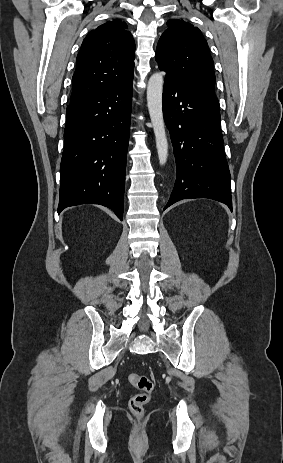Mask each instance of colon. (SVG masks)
I'll return each instance as SVG.
<instances>
[{
  "instance_id": "obj_1",
  "label": "colon",
  "mask_w": 283,
  "mask_h": 463,
  "mask_svg": "<svg viewBox=\"0 0 283 463\" xmlns=\"http://www.w3.org/2000/svg\"><path fill=\"white\" fill-rule=\"evenodd\" d=\"M128 380L139 391L130 399L129 409L135 417L141 418L145 406L152 400L154 383L148 376L135 373L129 374Z\"/></svg>"
}]
</instances>
